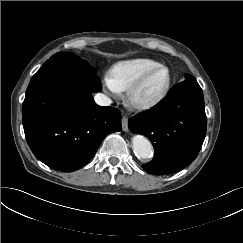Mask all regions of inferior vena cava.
I'll list each match as a JSON object with an SVG mask.
<instances>
[{
    "label": "inferior vena cava",
    "instance_id": "1",
    "mask_svg": "<svg viewBox=\"0 0 243 243\" xmlns=\"http://www.w3.org/2000/svg\"><path fill=\"white\" fill-rule=\"evenodd\" d=\"M94 99H95L96 104H98L100 106H110L112 103V100L102 93L96 94Z\"/></svg>",
    "mask_w": 243,
    "mask_h": 243
}]
</instances>
